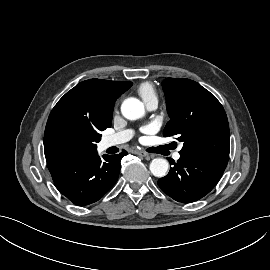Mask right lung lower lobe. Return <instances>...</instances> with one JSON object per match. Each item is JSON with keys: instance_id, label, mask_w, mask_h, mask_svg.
Instances as JSON below:
<instances>
[{"instance_id": "98d812e1", "label": "right lung lower lobe", "mask_w": 270, "mask_h": 270, "mask_svg": "<svg viewBox=\"0 0 270 270\" xmlns=\"http://www.w3.org/2000/svg\"><path fill=\"white\" fill-rule=\"evenodd\" d=\"M126 151L117 155L98 156L97 150L79 156L51 159L48 169L55 186L72 203L84 206L98 201L115 184L120 161Z\"/></svg>"}]
</instances>
